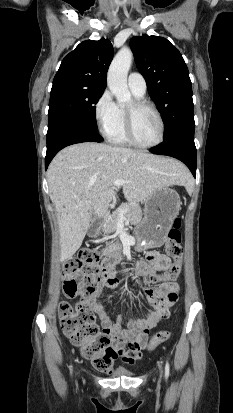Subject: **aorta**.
I'll list each match as a JSON object with an SVG mask.
<instances>
[{
	"instance_id": "aorta-1",
	"label": "aorta",
	"mask_w": 233,
	"mask_h": 413,
	"mask_svg": "<svg viewBox=\"0 0 233 413\" xmlns=\"http://www.w3.org/2000/svg\"><path fill=\"white\" fill-rule=\"evenodd\" d=\"M133 59L132 51L122 48L112 60L108 74L107 85L111 93L121 104L131 102V93L127 85V75Z\"/></svg>"
}]
</instances>
